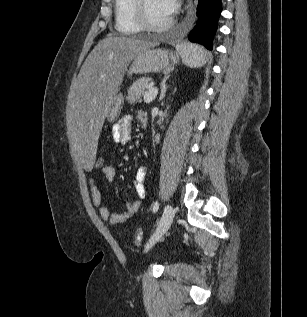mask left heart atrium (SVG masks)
<instances>
[{
	"label": "left heart atrium",
	"instance_id": "1",
	"mask_svg": "<svg viewBox=\"0 0 307 317\" xmlns=\"http://www.w3.org/2000/svg\"><path fill=\"white\" fill-rule=\"evenodd\" d=\"M166 12L172 15L178 9L177 0H161Z\"/></svg>",
	"mask_w": 307,
	"mask_h": 317
}]
</instances>
